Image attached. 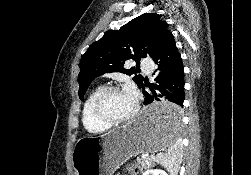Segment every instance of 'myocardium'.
<instances>
[{
    "mask_svg": "<svg viewBox=\"0 0 251 175\" xmlns=\"http://www.w3.org/2000/svg\"><path fill=\"white\" fill-rule=\"evenodd\" d=\"M122 90L119 86H107L104 87L95 97L93 106H92V111L94 116L102 123L106 124L109 127L112 126H118L119 124H123L126 122H129L132 120L136 114H137V106L134 105L133 110L126 116L118 118V119H113L109 117L103 110V102L104 99L107 97L108 94H110L113 91H119Z\"/></svg>",
    "mask_w": 251,
    "mask_h": 175,
    "instance_id": "1",
    "label": "myocardium"
}]
</instances>
